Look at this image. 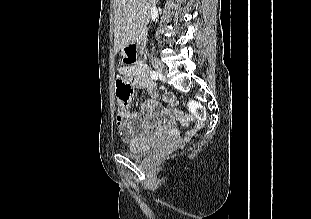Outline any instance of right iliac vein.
I'll return each mask as SVG.
<instances>
[{
  "label": "right iliac vein",
  "mask_w": 311,
  "mask_h": 219,
  "mask_svg": "<svg viewBox=\"0 0 311 219\" xmlns=\"http://www.w3.org/2000/svg\"><path fill=\"white\" fill-rule=\"evenodd\" d=\"M151 63L153 67L156 69V71L160 74L164 73V65L162 64L161 61H159L157 58L152 57L151 58Z\"/></svg>",
  "instance_id": "obj_1"
}]
</instances>
